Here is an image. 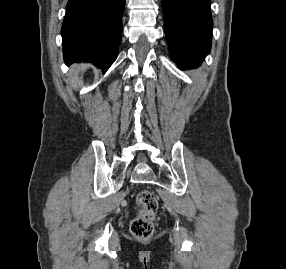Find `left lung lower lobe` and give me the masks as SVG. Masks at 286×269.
<instances>
[{"instance_id": "0a47b994", "label": "left lung lower lobe", "mask_w": 286, "mask_h": 269, "mask_svg": "<svg viewBox=\"0 0 286 269\" xmlns=\"http://www.w3.org/2000/svg\"><path fill=\"white\" fill-rule=\"evenodd\" d=\"M170 53L180 66H197L211 48L210 0H162Z\"/></svg>"}]
</instances>
